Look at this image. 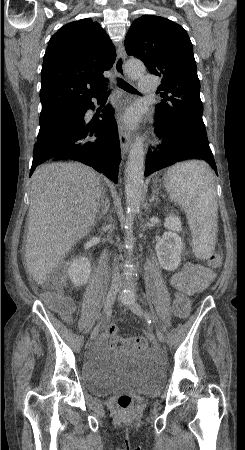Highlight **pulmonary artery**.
Returning <instances> with one entry per match:
<instances>
[{
  "instance_id": "pulmonary-artery-1",
  "label": "pulmonary artery",
  "mask_w": 245,
  "mask_h": 450,
  "mask_svg": "<svg viewBox=\"0 0 245 450\" xmlns=\"http://www.w3.org/2000/svg\"><path fill=\"white\" fill-rule=\"evenodd\" d=\"M140 93L145 94H152L156 91L157 88V81L156 77L150 76V75H144L140 77Z\"/></svg>"
}]
</instances>
